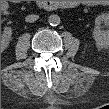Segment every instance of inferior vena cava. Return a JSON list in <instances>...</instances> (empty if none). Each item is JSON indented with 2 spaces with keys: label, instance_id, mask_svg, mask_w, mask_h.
<instances>
[{
  "label": "inferior vena cava",
  "instance_id": "1",
  "mask_svg": "<svg viewBox=\"0 0 109 109\" xmlns=\"http://www.w3.org/2000/svg\"><path fill=\"white\" fill-rule=\"evenodd\" d=\"M38 18H39L38 15L30 14L25 18V20H26V22L31 23V22H35Z\"/></svg>",
  "mask_w": 109,
  "mask_h": 109
}]
</instances>
